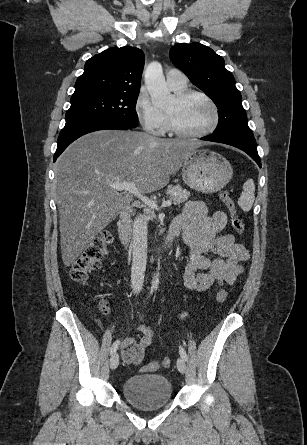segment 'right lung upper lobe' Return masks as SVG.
I'll list each match as a JSON object with an SVG mask.
<instances>
[{
  "label": "right lung upper lobe",
  "instance_id": "obj_1",
  "mask_svg": "<svg viewBox=\"0 0 307 445\" xmlns=\"http://www.w3.org/2000/svg\"><path fill=\"white\" fill-rule=\"evenodd\" d=\"M144 66L142 50L110 48L87 60L72 96L90 94H139Z\"/></svg>",
  "mask_w": 307,
  "mask_h": 445
}]
</instances>
